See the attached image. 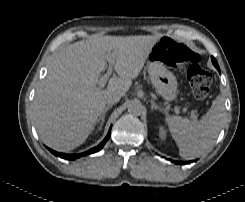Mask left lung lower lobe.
<instances>
[{
  "label": "left lung lower lobe",
  "mask_w": 245,
  "mask_h": 202,
  "mask_svg": "<svg viewBox=\"0 0 245 202\" xmlns=\"http://www.w3.org/2000/svg\"><path fill=\"white\" fill-rule=\"evenodd\" d=\"M172 162H175V161H172ZM176 164H180V165H183V164H187L188 162H175Z\"/></svg>",
  "instance_id": "0a47b994"
}]
</instances>
